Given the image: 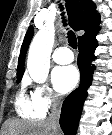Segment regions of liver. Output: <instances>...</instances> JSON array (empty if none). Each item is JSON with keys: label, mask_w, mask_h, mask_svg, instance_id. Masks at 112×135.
<instances>
[{"label": "liver", "mask_w": 112, "mask_h": 135, "mask_svg": "<svg viewBox=\"0 0 112 135\" xmlns=\"http://www.w3.org/2000/svg\"><path fill=\"white\" fill-rule=\"evenodd\" d=\"M2 135H56L48 121L7 120Z\"/></svg>", "instance_id": "1"}]
</instances>
